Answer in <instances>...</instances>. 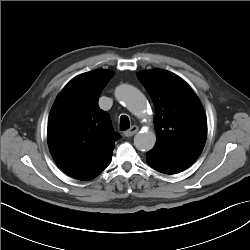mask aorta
Returning a JSON list of instances; mask_svg holds the SVG:
<instances>
[{
    "label": "aorta",
    "mask_w": 250,
    "mask_h": 250,
    "mask_svg": "<svg viewBox=\"0 0 250 250\" xmlns=\"http://www.w3.org/2000/svg\"><path fill=\"white\" fill-rule=\"evenodd\" d=\"M115 97L122 102L133 114L142 118L147 115V103L143 94L134 86L122 84L115 90ZM156 143L153 131L138 132L134 137V146L140 151L151 150Z\"/></svg>",
    "instance_id": "aorta-1"
}]
</instances>
